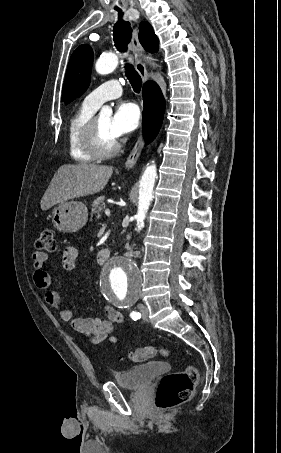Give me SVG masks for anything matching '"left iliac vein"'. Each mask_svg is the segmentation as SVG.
Here are the masks:
<instances>
[{
  "instance_id": "4c4485c4",
  "label": "left iliac vein",
  "mask_w": 281,
  "mask_h": 453,
  "mask_svg": "<svg viewBox=\"0 0 281 453\" xmlns=\"http://www.w3.org/2000/svg\"><path fill=\"white\" fill-rule=\"evenodd\" d=\"M141 317H143L144 320L147 321L148 318V311H147V307H141Z\"/></svg>"
}]
</instances>
